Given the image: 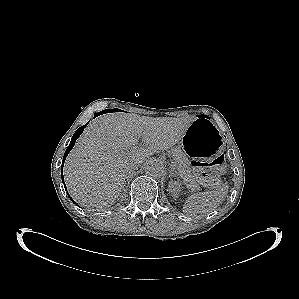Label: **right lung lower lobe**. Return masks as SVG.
<instances>
[{
  "label": "right lung lower lobe",
  "instance_id": "1",
  "mask_svg": "<svg viewBox=\"0 0 299 299\" xmlns=\"http://www.w3.org/2000/svg\"><path fill=\"white\" fill-rule=\"evenodd\" d=\"M87 126V124H85L84 126L80 127L73 135L72 139H71V142L68 146V148L66 149L65 151V154H64V157H63V162H62V167H61V173H62V180L64 181V178H63V166H64V162H65V159L68 155V153L72 150V148L74 147L75 145V141L77 140V138L80 136V134L83 132L84 128ZM65 185V183H64ZM72 200L73 203H75V201H73L72 198H70Z\"/></svg>",
  "mask_w": 299,
  "mask_h": 299
}]
</instances>
